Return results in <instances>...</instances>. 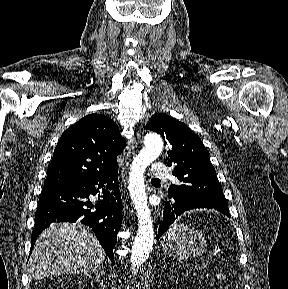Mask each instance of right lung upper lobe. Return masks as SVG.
<instances>
[{
  "instance_id": "1",
  "label": "right lung upper lobe",
  "mask_w": 288,
  "mask_h": 289,
  "mask_svg": "<svg viewBox=\"0 0 288 289\" xmlns=\"http://www.w3.org/2000/svg\"><path fill=\"white\" fill-rule=\"evenodd\" d=\"M125 139L107 116L83 117L62 134L48 167L44 188L94 176L118 166Z\"/></svg>"
}]
</instances>
